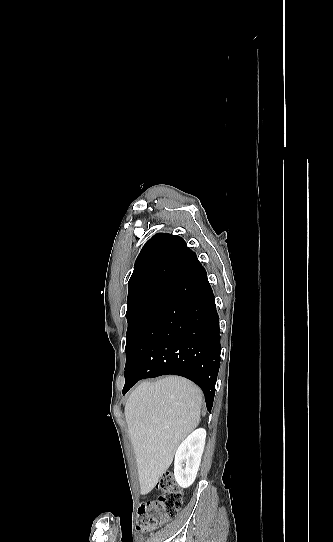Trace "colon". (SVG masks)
Returning a JSON list of instances; mask_svg holds the SVG:
<instances>
[{
	"instance_id": "1",
	"label": "colon",
	"mask_w": 333,
	"mask_h": 542,
	"mask_svg": "<svg viewBox=\"0 0 333 542\" xmlns=\"http://www.w3.org/2000/svg\"><path fill=\"white\" fill-rule=\"evenodd\" d=\"M157 485L162 492L156 499L143 502L139 508V525L145 531H151L175 517L182 506V492L173 474L162 475Z\"/></svg>"
}]
</instances>
